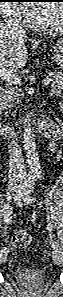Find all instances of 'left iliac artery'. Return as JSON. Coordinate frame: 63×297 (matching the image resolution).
Masks as SVG:
<instances>
[{
  "label": "left iliac artery",
  "mask_w": 63,
  "mask_h": 297,
  "mask_svg": "<svg viewBox=\"0 0 63 297\" xmlns=\"http://www.w3.org/2000/svg\"><path fill=\"white\" fill-rule=\"evenodd\" d=\"M30 193H31V190H26V191H19V194H17L14 199L15 201H17V204L19 206H22L21 204V199L25 202V203H32L35 201V198L34 197H31L30 196ZM47 222H48V225H47V230L51 233L52 230H53V224L52 222L50 221V217L48 216L47 218ZM51 244H52V247L54 248V250H58V247H59V244H57V242H54L52 239H51ZM60 248V247H59Z\"/></svg>",
  "instance_id": "44dca946"
}]
</instances>
